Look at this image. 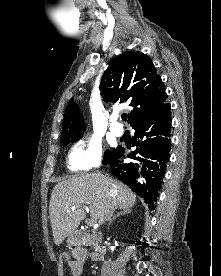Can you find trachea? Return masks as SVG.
<instances>
[{"label":"trachea","mask_w":221,"mask_h":276,"mask_svg":"<svg viewBox=\"0 0 221 276\" xmlns=\"http://www.w3.org/2000/svg\"><path fill=\"white\" fill-rule=\"evenodd\" d=\"M121 118H122L123 121H126L127 120V114H122Z\"/></svg>","instance_id":"3493384b"}]
</instances>
